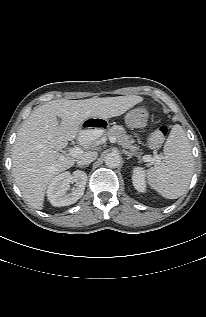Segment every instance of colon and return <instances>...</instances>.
<instances>
[{"label": "colon", "instance_id": "colon-1", "mask_svg": "<svg viewBox=\"0 0 206 317\" xmlns=\"http://www.w3.org/2000/svg\"><path fill=\"white\" fill-rule=\"evenodd\" d=\"M149 118V113L147 109L144 107H137L131 110L126 115V123L130 127H142L144 126ZM168 133V128L166 126H160L159 128L155 129L149 138L150 145L152 147H159L162 142L164 141L166 135Z\"/></svg>", "mask_w": 206, "mask_h": 317}]
</instances>
